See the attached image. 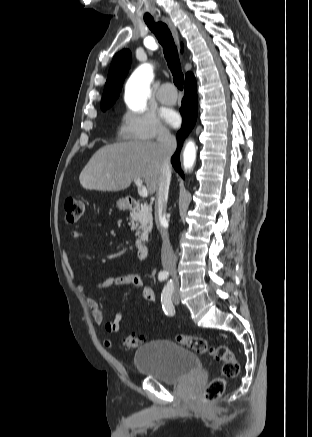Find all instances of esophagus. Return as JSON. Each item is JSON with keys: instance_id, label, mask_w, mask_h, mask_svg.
I'll return each instance as SVG.
<instances>
[{"instance_id": "34e87169", "label": "esophagus", "mask_w": 312, "mask_h": 437, "mask_svg": "<svg viewBox=\"0 0 312 437\" xmlns=\"http://www.w3.org/2000/svg\"><path fill=\"white\" fill-rule=\"evenodd\" d=\"M162 19L167 24L169 29L171 30L172 35H173L174 40L176 41V43L179 44V35H178V32H177L176 27L173 24V22L170 20V18L165 17V16H162Z\"/></svg>"}]
</instances>
